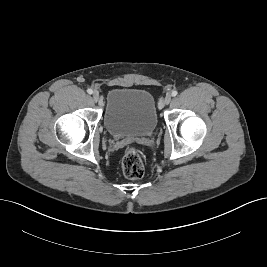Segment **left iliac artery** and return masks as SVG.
<instances>
[{
  "label": "left iliac artery",
  "instance_id": "obj_1",
  "mask_svg": "<svg viewBox=\"0 0 267 267\" xmlns=\"http://www.w3.org/2000/svg\"><path fill=\"white\" fill-rule=\"evenodd\" d=\"M177 94H178V92H177L176 90L172 91V93H171V95H172L173 97H175Z\"/></svg>",
  "mask_w": 267,
  "mask_h": 267
}]
</instances>
